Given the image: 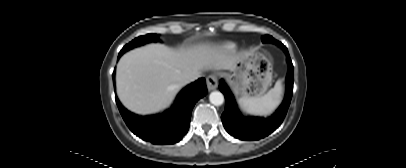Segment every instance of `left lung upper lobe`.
Segmentation results:
<instances>
[{"mask_svg":"<svg viewBox=\"0 0 406 168\" xmlns=\"http://www.w3.org/2000/svg\"><path fill=\"white\" fill-rule=\"evenodd\" d=\"M262 42H263V43H265V42L275 43V44H278V45L281 46V47H282V45H283L281 42L275 40L272 36H269V35L263 36V37H262Z\"/></svg>","mask_w":406,"mask_h":168,"instance_id":"1","label":"left lung upper lobe"}]
</instances>
